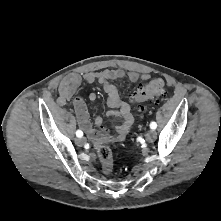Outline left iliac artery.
<instances>
[{"label":"left iliac artery","instance_id":"1","mask_svg":"<svg viewBox=\"0 0 221 221\" xmlns=\"http://www.w3.org/2000/svg\"><path fill=\"white\" fill-rule=\"evenodd\" d=\"M156 127H157L156 122H151V123H150V128H151V129H156Z\"/></svg>","mask_w":221,"mask_h":221}]
</instances>
